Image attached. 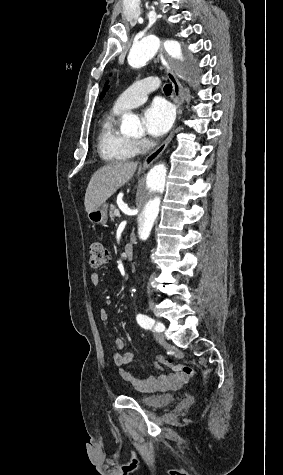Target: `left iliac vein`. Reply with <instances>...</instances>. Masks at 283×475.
I'll return each mask as SVG.
<instances>
[{"instance_id":"1","label":"left iliac vein","mask_w":283,"mask_h":475,"mask_svg":"<svg viewBox=\"0 0 283 475\" xmlns=\"http://www.w3.org/2000/svg\"><path fill=\"white\" fill-rule=\"evenodd\" d=\"M154 337L158 343H161V344L164 343V335L160 333V331L156 330Z\"/></svg>"}]
</instances>
